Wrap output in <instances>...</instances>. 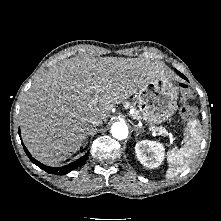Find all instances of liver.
Here are the masks:
<instances>
[{"instance_id":"liver-1","label":"liver","mask_w":221,"mask_h":221,"mask_svg":"<svg viewBox=\"0 0 221 221\" xmlns=\"http://www.w3.org/2000/svg\"><path fill=\"white\" fill-rule=\"evenodd\" d=\"M164 74V65L144 59H66L44 73L24 96L19 114L23 142L46 165L65 161L82 146L90 119L106 122L114 104Z\"/></svg>"}]
</instances>
